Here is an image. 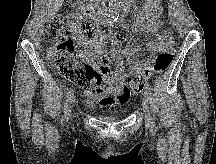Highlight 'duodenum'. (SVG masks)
Returning a JSON list of instances; mask_svg holds the SVG:
<instances>
[{
    "instance_id": "duodenum-1",
    "label": "duodenum",
    "mask_w": 216,
    "mask_h": 164,
    "mask_svg": "<svg viewBox=\"0 0 216 164\" xmlns=\"http://www.w3.org/2000/svg\"><path fill=\"white\" fill-rule=\"evenodd\" d=\"M82 9L88 14H96L99 22H104L106 20L105 6L104 4L98 2V0L95 3L83 6Z\"/></svg>"
}]
</instances>
